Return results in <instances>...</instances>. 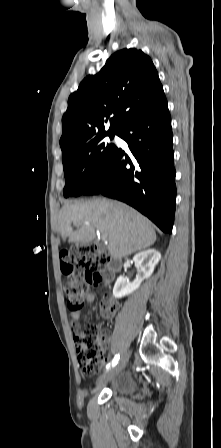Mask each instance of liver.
<instances>
[{"label":"liver","mask_w":221,"mask_h":448,"mask_svg":"<svg viewBox=\"0 0 221 448\" xmlns=\"http://www.w3.org/2000/svg\"><path fill=\"white\" fill-rule=\"evenodd\" d=\"M96 230L107 242L110 255L118 259L150 247L157 237L146 217L119 201L95 199L65 204L60 210L58 231L62 240L89 243L96 237Z\"/></svg>","instance_id":"6515ba94"}]
</instances>
